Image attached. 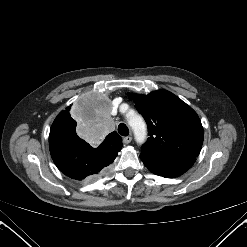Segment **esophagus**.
Returning a JSON list of instances; mask_svg holds the SVG:
<instances>
[{
  "mask_svg": "<svg viewBox=\"0 0 247 247\" xmlns=\"http://www.w3.org/2000/svg\"><path fill=\"white\" fill-rule=\"evenodd\" d=\"M132 141V137L131 136H127L123 138V143L124 144H129Z\"/></svg>",
  "mask_w": 247,
  "mask_h": 247,
  "instance_id": "34e87169",
  "label": "esophagus"
}]
</instances>
